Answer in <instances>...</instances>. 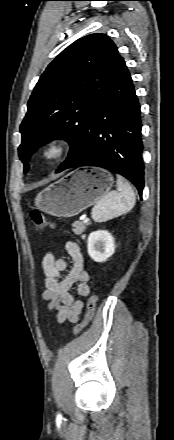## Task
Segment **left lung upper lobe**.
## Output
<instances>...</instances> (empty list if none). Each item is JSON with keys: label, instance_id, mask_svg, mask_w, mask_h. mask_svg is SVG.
I'll return each mask as SVG.
<instances>
[{"label": "left lung upper lobe", "instance_id": "1", "mask_svg": "<svg viewBox=\"0 0 174 440\" xmlns=\"http://www.w3.org/2000/svg\"><path fill=\"white\" fill-rule=\"evenodd\" d=\"M120 58L108 36L91 34L72 43L48 65L33 90L20 127L22 143L18 150L24 172L29 169L31 154L54 139L62 138L70 144L68 157L57 173L77 156L89 110Z\"/></svg>", "mask_w": 174, "mask_h": 440}]
</instances>
